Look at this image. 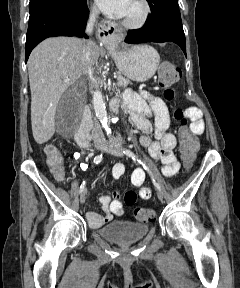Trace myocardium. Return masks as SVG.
Wrapping results in <instances>:
<instances>
[{
  "label": "myocardium",
  "mask_w": 240,
  "mask_h": 288,
  "mask_svg": "<svg viewBox=\"0 0 240 288\" xmlns=\"http://www.w3.org/2000/svg\"><path fill=\"white\" fill-rule=\"evenodd\" d=\"M138 2L142 6V14L140 15L139 18L135 20H130L124 18L122 21V24L127 28V29H140L144 27L151 15V5L148 0H138Z\"/></svg>",
  "instance_id": "1"
}]
</instances>
